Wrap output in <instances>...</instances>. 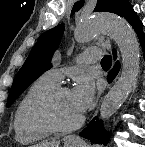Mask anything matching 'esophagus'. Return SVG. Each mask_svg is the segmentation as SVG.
<instances>
[{"instance_id":"34e87169","label":"esophagus","mask_w":145,"mask_h":147,"mask_svg":"<svg viewBox=\"0 0 145 147\" xmlns=\"http://www.w3.org/2000/svg\"><path fill=\"white\" fill-rule=\"evenodd\" d=\"M69 141H70V142L80 141V138L77 137V136H73V137L69 138Z\"/></svg>"}]
</instances>
